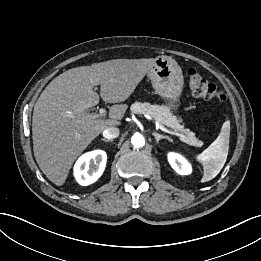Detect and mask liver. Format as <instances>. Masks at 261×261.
I'll return each instance as SVG.
<instances>
[{
	"label": "liver",
	"instance_id": "liver-1",
	"mask_svg": "<svg viewBox=\"0 0 261 261\" xmlns=\"http://www.w3.org/2000/svg\"><path fill=\"white\" fill-rule=\"evenodd\" d=\"M155 59H115L69 69L41 93L32 117L33 151L46 177L62 186L77 157L107 127L121 125L128 106L115 104L109 118L92 119L88 109L99 103L126 101L154 65Z\"/></svg>",
	"mask_w": 261,
	"mask_h": 261
}]
</instances>
